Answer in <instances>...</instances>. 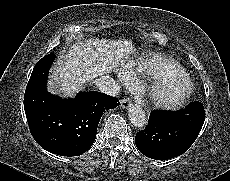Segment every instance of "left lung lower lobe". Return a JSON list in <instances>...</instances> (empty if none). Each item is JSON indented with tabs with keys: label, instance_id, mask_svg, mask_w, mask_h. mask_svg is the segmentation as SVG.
<instances>
[{
	"label": "left lung lower lobe",
	"instance_id": "obj_1",
	"mask_svg": "<svg viewBox=\"0 0 230 181\" xmlns=\"http://www.w3.org/2000/svg\"><path fill=\"white\" fill-rule=\"evenodd\" d=\"M204 120V108L199 102H192L179 111H152L146 128L135 136L136 146L152 159L174 158L194 143Z\"/></svg>",
	"mask_w": 230,
	"mask_h": 181
}]
</instances>
